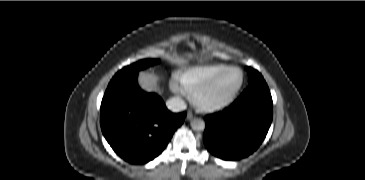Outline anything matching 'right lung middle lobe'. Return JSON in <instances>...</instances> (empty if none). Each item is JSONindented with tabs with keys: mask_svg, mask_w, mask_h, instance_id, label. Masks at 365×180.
<instances>
[{
	"mask_svg": "<svg viewBox=\"0 0 365 180\" xmlns=\"http://www.w3.org/2000/svg\"><path fill=\"white\" fill-rule=\"evenodd\" d=\"M159 60L157 59H145L139 62H136L130 66L124 67L122 70L116 73L112 80L117 79L119 77L128 75V74H137L139 70H142L146 67H149L153 64L158 63Z\"/></svg>",
	"mask_w": 365,
	"mask_h": 180,
	"instance_id": "dd1d6c3e",
	"label": "right lung middle lobe"
}]
</instances>
